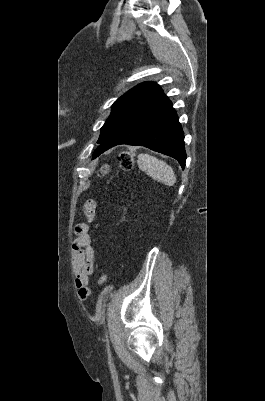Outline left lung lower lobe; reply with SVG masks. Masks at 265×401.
I'll list each match as a JSON object with an SVG mask.
<instances>
[{"label":"left lung lower lobe","instance_id":"0a47b994","mask_svg":"<svg viewBox=\"0 0 265 401\" xmlns=\"http://www.w3.org/2000/svg\"><path fill=\"white\" fill-rule=\"evenodd\" d=\"M120 144L147 147L175 158L182 168L185 167L184 133L172 103L165 94L128 118L100 143L93 157Z\"/></svg>","mask_w":265,"mask_h":401}]
</instances>
